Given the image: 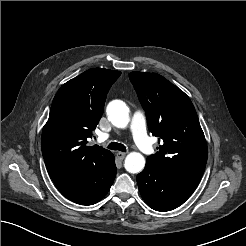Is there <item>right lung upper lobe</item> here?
Masks as SVG:
<instances>
[{
  "instance_id": "cb5924a9",
  "label": "right lung upper lobe",
  "mask_w": 246,
  "mask_h": 246,
  "mask_svg": "<svg viewBox=\"0 0 246 246\" xmlns=\"http://www.w3.org/2000/svg\"><path fill=\"white\" fill-rule=\"evenodd\" d=\"M121 72L89 69L69 80L55 95L44 125L41 148L51 177L89 164L105 162L112 153L98 145L88 146L104 111L111 85Z\"/></svg>"
}]
</instances>
